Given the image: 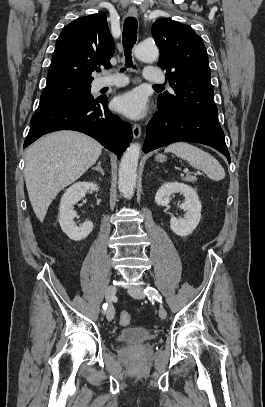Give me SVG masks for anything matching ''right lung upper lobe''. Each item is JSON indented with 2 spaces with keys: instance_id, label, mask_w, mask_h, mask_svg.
<instances>
[{
  "instance_id": "1",
  "label": "right lung upper lobe",
  "mask_w": 265,
  "mask_h": 407,
  "mask_svg": "<svg viewBox=\"0 0 265 407\" xmlns=\"http://www.w3.org/2000/svg\"><path fill=\"white\" fill-rule=\"evenodd\" d=\"M114 40L104 12L81 17L61 32L48 71L47 82L71 80L91 83L95 66L111 67Z\"/></svg>"
}]
</instances>
